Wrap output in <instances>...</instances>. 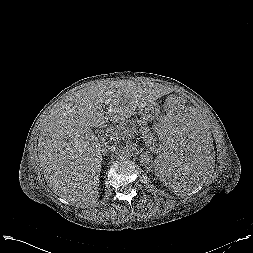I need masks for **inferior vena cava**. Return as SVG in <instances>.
Wrapping results in <instances>:
<instances>
[{
  "label": "inferior vena cava",
  "mask_w": 253,
  "mask_h": 253,
  "mask_svg": "<svg viewBox=\"0 0 253 253\" xmlns=\"http://www.w3.org/2000/svg\"><path fill=\"white\" fill-rule=\"evenodd\" d=\"M117 151L116 143L108 142L104 145L102 152L106 155H111Z\"/></svg>",
  "instance_id": "1"
}]
</instances>
